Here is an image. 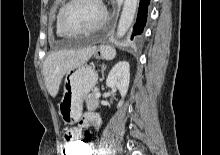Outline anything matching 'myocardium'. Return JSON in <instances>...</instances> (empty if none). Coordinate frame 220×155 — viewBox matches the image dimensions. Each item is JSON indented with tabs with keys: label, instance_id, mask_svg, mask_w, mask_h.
<instances>
[{
	"label": "myocardium",
	"instance_id": "obj_1",
	"mask_svg": "<svg viewBox=\"0 0 220 155\" xmlns=\"http://www.w3.org/2000/svg\"><path fill=\"white\" fill-rule=\"evenodd\" d=\"M78 0H68L59 10L58 15H57V26L59 28V30L69 36H74V35H82V34H88V33H92L95 32L99 29H101L107 22V18H108V14H107V10L106 7L104 6L102 0H98V2L100 3V5L102 6L103 9V18L102 20L95 26L91 27V28H86V29H69L65 26L64 22H63V16L65 11L75 2H77Z\"/></svg>",
	"mask_w": 220,
	"mask_h": 155
}]
</instances>
